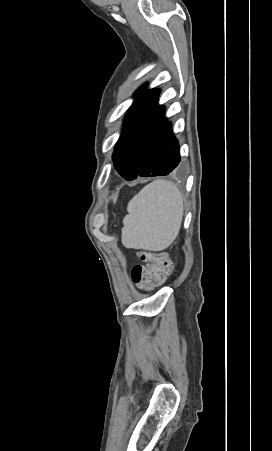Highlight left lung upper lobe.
Returning <instances> with one entry per match:
<instances>
[{
    "mask_svg": "<svg viewBox=\"0 0 272 451\" xmlns=\"http://www.w3.org/2000/svg\"><path fill=\"white\" fill-rule=\"evenodd\" d=\"M160 90L136 91V99L112 155L116 171L125 179L137 176L165 108L157 104Z\"/></svg>",
    "mask_w": 272,
    "mask_h": 451,
    "instance_id": "obj_1",
    "label": "left lung upper lobe"
}]
</instances>
